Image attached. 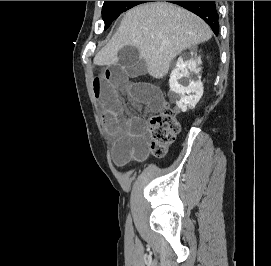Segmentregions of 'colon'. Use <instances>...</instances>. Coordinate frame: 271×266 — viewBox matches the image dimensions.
Returning a JSON list of instances; mask_svg holds the SVG:
<instances>
[{"label": "colon", "instance_id": "obj_1", "mask_svg": "<svg viewBox=\"0 0 271 266\" xmlns=\"http://www.w3.org/2000/svg\"><path fill=\"white\" fill-rule=\"evenodd\" d=\"M150 123L151 151L155 156L162 157L179 132L178 121L169 104L165 103Z\"/></svg>", "mask_w": 271, "mask_h": 266}]
</instances>
